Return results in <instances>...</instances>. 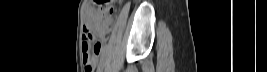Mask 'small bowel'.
I'll return each instance as SVG.
<instances>
[{"label":"small bowel","mask_w":267,"mask_h":72,"mask_svg":"<svg viewBox=\"0 0 267 72\" xmlns=\"http://www.w3.org/2000/svg\"><path fill=\"white\" fill-rule=\"evenodd\" d=\"M90 28L87 27L85 29V35L83 37V42H82V50L85 46V43H86V38L88 37V32H89ZM109 32V28L108 27H104L102 30L99 31V35L101 37H105V35ZM102 49H103V44L100 43V50H99V53H98V56H97V61L99 60V57L101 56V53H102ZM95 67L91 68V67H85V71L86 72H92L94 70Z\"/></svg>","instance_id":"c3829d8e"}]
</instances>
